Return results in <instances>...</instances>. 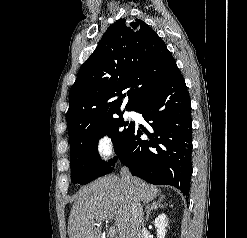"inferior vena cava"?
Segmentation results:
<instances>
[{
    "instance_id": "obj_1",
    "label": "inferior vena cava",
    "mask_w": 247,
    "mask_h": 238,
    "mask_svg": "<svg viewBox=\"0 0 247 238\" xmlns=\"http://www.w3.org/2000/svg\"><path fill=\"white\" fill-rule=\"evenodd\" d=\"M121 179L127 184L130 191L131 200V233L130 238H140L144 229L143 209L140 200L132 190V176L127 167H122L120 171Z\"/></svg>"
}]
</instances>
